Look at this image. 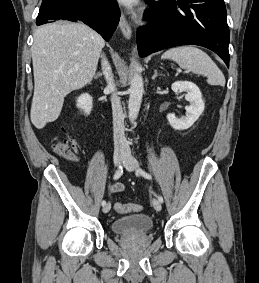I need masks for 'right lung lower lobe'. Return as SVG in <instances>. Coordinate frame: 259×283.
Wrapping results in <instances>:
<instances>
[{
  "instance_id": "right-lung-lower-lobe-1",
  "label": "right lung lower lobe",
  "mask_w": 259,
  "mask_h": 283,
  "mask_svg": "<svg viewBox=\"0 0 259 283\" xmlns=\"http://www.w3.org/2000/svg\"><path fill=\"white\" fill-rule=\"evenodd\" d=\"M59 19L80 20L108 41L117 28L120 12L114 0H43L36 24Z\"/></svg>"
}]
</instances>
